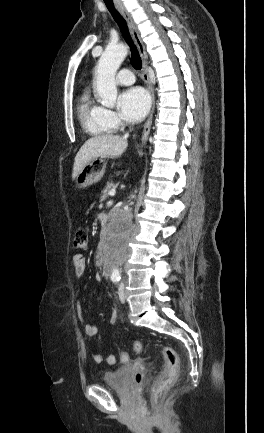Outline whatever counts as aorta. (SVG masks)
I'll return each mask as SVG.
<instances>
[{
  "mask_svg": "<svg viewBox=\"0 0 264 433\" xmlns=\"http://www.w3.org/2000/svg\"><path fill=\"white\" fill-rule=\"evenodd\" d=\"M127 56V48L123 45L109 46L101 55L96 69V90L101 98V104L108 108H113L117 99V88L115 84V74ZM119 260L115 255V263L111 277L119 278Z\"/></svg>",
  "mask_w": 264,
  "mask_h": 433,
  "instance_id": "1",
  "label": "aorta"
}]
</instances>
